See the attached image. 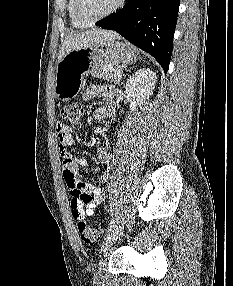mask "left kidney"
Here are the masks:
<instances>
[{
  "mask_svg": "<svg viewBox=\"0 0 233 286\" xmlns=\"http://www.w3.org/2000/svg\"><path fill=\"white\" fill-rule=\"evenodd\" d=\"M155 83L156 73L148 68L138 70L127 80L125 89L131 111L149 99L153 94Z\"/></svg>",
  "mask_w": 233,
  "mask_h": 286,
  "instance_id": "1",
  "label": "left kidney"
}]
</instances>
